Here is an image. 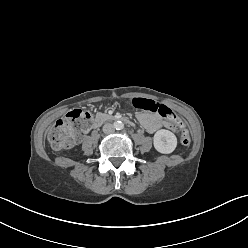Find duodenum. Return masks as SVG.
I'll list each match as a JSON object with an SVG mask.
<instances>
[{
  "instance_id": "1",
  "label": "duodenum",
  "mask_w": 248,
  "mask_h": 248,
  "mask_svg": "<svg viewBox=\"0 0 248 248\" xmlns=\"http://www.w3.org/2000/svg\"><path fill=\"white\" fill-rule=\"evenodd\" d=\"M108 120H114V121H119L120 120V121L126 123L127 125H133V122L129 118H126V117L102 115V116L94 119L91 122V127L92 128H97L103 122L108 121Z\"/></svg>"
}]
</instances>
